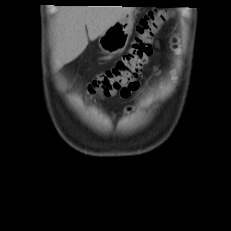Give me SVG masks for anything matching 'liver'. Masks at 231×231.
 Listing matches in <instances>:
<instances>
[{
    "label": "liver",
    "instance_id": "obj_1",
    "mask_svg": "<svg viewBox=\"0 0 231 231\" xmlns=\"http://www.w3.org/2000/svg\"><path fill=\"white\" fill-rule=\"evenodd\" d=\"M133 9L122 6L61 7L53 32L54 65L62 67L76 59L86 49L88 37L94 41Z\"/></svg>",
    "mask_w": 231,
    "mask_h": 231
}]
</instances>
